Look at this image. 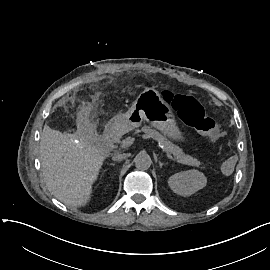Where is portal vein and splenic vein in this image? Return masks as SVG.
Masks as SVG:
<instances>
[{"mask_svg": "<svg viewBox=\"0 0 270 270\" xmlns=\"http://www.w3.org/2000/svg\"><path fill=\"white\" fill-rule=\"evenodd\" d=\"M135 142H136V137L135 136H128V137H126L125 142H121L119 144V147L121 149H124L125 147H129L131 144H133ZM160 147L163 148L164 146L160 145ZM166 154L168 155V153H166ZM168 159H171V155H168ZM172 161H175V157H172Z\"/></svg>", "mask_w": 270, "mask_h": 270, "instance_id": "portal-vein-and-splenic-vein-1", "label": "portal vein and splenic vein"}]
</instances>
